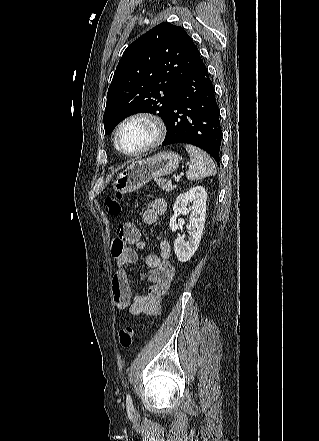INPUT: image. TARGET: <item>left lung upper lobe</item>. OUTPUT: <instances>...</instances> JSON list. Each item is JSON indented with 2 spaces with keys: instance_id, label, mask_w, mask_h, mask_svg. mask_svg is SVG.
<instances>
[{
  "instance_id": "5c2ea615",
  "label": "left lung upper lobe",
  "mask_w": 319,
  "mask_h": 441,
  "mask_svg": "<svg viewBox=\"0 0 319 441\" xmlns=\"http://www.w3.org/2000/svg\"><path fill=\"white\" fill-rule=\"evenodd\" d=\"M201 57L179 26L161 23L124 51L107 93L105 134L126 117L148 112L167 124L178 87Z\"/></svg>"
}]
</instances>
